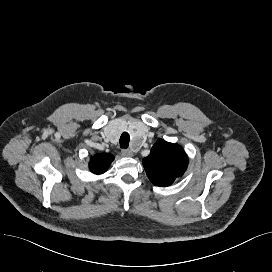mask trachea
<instances>
[{"label":"trachea","mask_w":272,"mask_h":272,"mask_svg":"<svg viewBox=\"0 0 272 272\" xmlns=\"http://www.w3.org/2000/svg\"><path fill=\"white\" fill-rule=\"evenodd\" d=\"M130 141V136L127 132H123L120 137V147L121 148H128Z\"/></svg>","instance_id":"3493384b"}]
</instances>
